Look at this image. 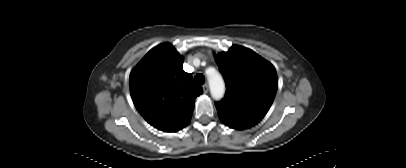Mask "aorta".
I'll list each match as a JSON object with an SVG mask.
<instances>
[{
    "mask_svg": "<svg viewBox=\"0 0 406 168\" xmlns=\"http://www.w3.org/2000/svg\"><path fill=\"white\" fill-rule=\"evenodd\" d=\"M211 96L215 100H220L225 93V83L222 76L215 70L209 69L207 72Z\"/></svg>",
    "mask_w": 406,
    "mask_h": 168,
    "instance_id": "1",
    "label": "aorta"
}]
</instances>
